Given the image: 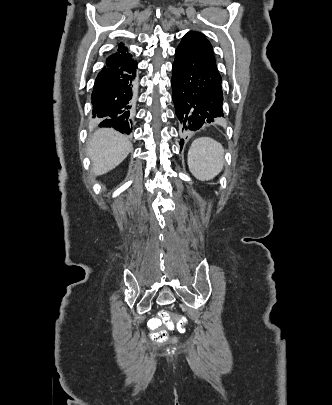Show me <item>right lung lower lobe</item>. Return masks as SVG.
Instances as JSON below:
<instances>
[{"label":"right lung lower lobe","mask_w":332,"mask_h":405,"mask_svg":"<svg viewBox=\"0 0 332 405\" xmlns=\"http://www.w3.org/2000/svg\"><path fill=\"white\" fill-rule=\"evenodd\" d=\"M136 69L137 63L131 59L99 72L91 99L93 117L104 118L100 127H113L126 134L132 131L138 88Z\"/></svg>","instance_id":"obj_1"}]
</instances>
